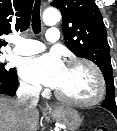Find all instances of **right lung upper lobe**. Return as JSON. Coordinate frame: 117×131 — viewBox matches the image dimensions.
<instances>
[{"instance_id": "right-lung-upper-lobe-1", "label": "right lung upper lobe", "mask_w": 117, "mask_h": 131, "mask_svg": "<svg viewBox=\"0 0 117 131\" xmlns=\"http://www.w3.org/2000/svg\"><path fill=\"white\" fill-rule=\"evenodd\" d=\"M34 0H0V52L7 42L3 37L29 27Z\"/></svg>"}]
</instances>
